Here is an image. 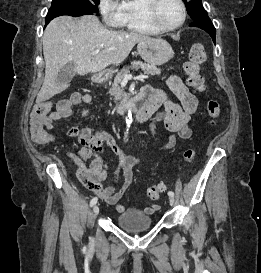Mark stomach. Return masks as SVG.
Returning <instances> with one entry per match:
<instances>
[{"instance_id":"1","label":"stomach","mask_w":261,"mask_h":273,"mask_svg":"<svg viewBox=\"0 0 261 273\" xmlns=\"http://www.w3.org/2000/svg\"><path fill=\"white\" fill-rule=\"evenodd\" d=\"M137 50L144 61L151 65H163L173 56L170 44L161 38H150L138 42Z\"/></svg>"}]
</instances>
